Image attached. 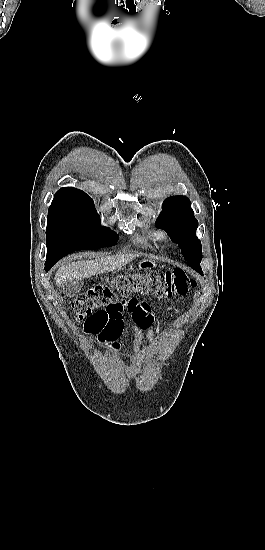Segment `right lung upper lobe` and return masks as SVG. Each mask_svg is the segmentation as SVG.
I'll use <instances>...</instances> for the list:
<instances>
[{"instance_id":"cb5924a9","label":"right lung upper lobe","mask_w":265,"mask_h":550,"mask_svg":"<svg viewBox=\"0 0 265 550\" xmlns=\"http://www.w3.org/2000/svg\"><path fill=\"white\" fill-rule=\"evenodd\" d=\"M86 198H89V196L85 192L72 187H66L56 192L52 203L74 202Z\"/></svg>"}]
</instances>
